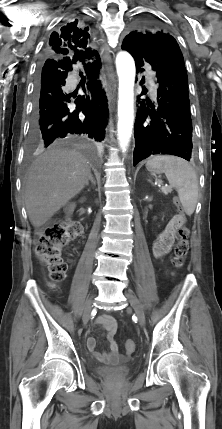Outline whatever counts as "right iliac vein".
<instances>
[{"instance_id": "63e3f726", "label": "right iliac vein", "mask_w": 222, "mask_h": 429, "mask_svg": "<svg viewBox=\"0 0 222 429\" xmlns=\"http://www.w3.org/2000/svg\"><path fill=\"white\" fill-rule=\"evenodd\" d=\"M93 307V301L90 299L86 305L82 320H83V324L87 325L89 318H90V313Z\"/></svg>"}]
</instances>
